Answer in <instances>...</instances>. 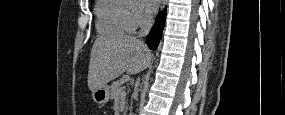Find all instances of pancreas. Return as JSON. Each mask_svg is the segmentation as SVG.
<instances>
[{
	"instance_id": "cf45deb5",
	"label": "pancreas",
	"mask_w": 285,
	"mask_h": 115,
	"mask_svg": "<svg viewBox=\"0 0 285 115\" xmlns=\"http://www.w3.org/2000/svg\"><path fill=\"white\" fill-rule=\"evenodd\" d=\"M124 88L122 87V83L120 81H115L111 85V98L116 99L120 96L122 90Z\"/></svg>"
}]
</instances>
